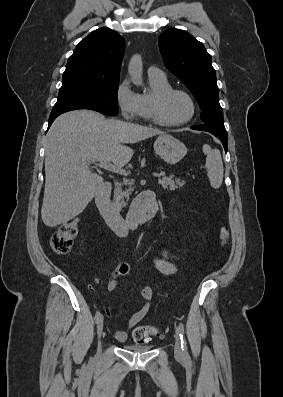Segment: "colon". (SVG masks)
Masks as SVG:
<instances>
[{
    "mask_svg": "<svg viewBox=\"0 0 283 397\" xmlns=\"http://www.w3.org/2000/svg\"><path fill=\"white\" fill-rule=\"evenodd\" d=\"M78 234V220L73 219L62 224L51 238V248L59 255L67 254L73 245V242ZM229 230L227 226L220 228V239L222 245L228 241ZM159 334L155 328L151 326H138L134 329L132 339L136 344L143 345L149 343L154 337Z\"/></svg>",
    "mask_w": 283,
    "mask_h": 397,
    "instance_id": "colon-1",
    "label": "colon"
}]
</instances>
